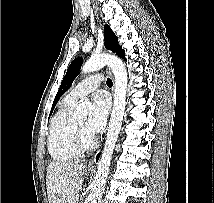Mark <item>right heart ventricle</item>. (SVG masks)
<instances>
[{
  "label": "right heart ventricle",
  "mask_w": 214,
  "mask_h": 203,
  "mask_svg": "<svg viewBox=\"0 0 214 203\" xmlns=\"http://www.w3.org/2000/svg\"><path fill=\"white\" fill-rule=\"evenodd\" d=\"M75 104L76 101L65 96L49 126L48 152L57 162L73 160L80 154L73 140L75 123L68 116Z\"/></svg>",
  "instance_id": "right-heart-ventricle-1"
}]
</instances>
